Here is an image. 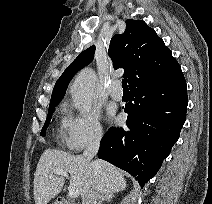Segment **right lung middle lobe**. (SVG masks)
Masks as SVG:
<instances>
[{
    "label": "right lung middle lobe",
    "mask_w": 212,
    "mask_h": 204,
    "mask_svg": "<svg viewBox=\"0 0 212 204\" xmlns=\"http://www.w3.org/2000/svg\"><path fill=\"white\" fill-rule=\"evenodd\" d=\"M57 103L56 104H50L49 106V112H48V115H47V119H46V122L42 128V131H41V135H45V129L47 128V126L49 125V122H50V117L54 111V108L56 107Z\"/></svg>",
    "instance_id": "obj_1"
}]
</instances>
